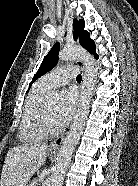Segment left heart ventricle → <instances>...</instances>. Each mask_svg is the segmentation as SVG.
Listing matches in <instances>:
<instances>
[{"label": "left heart ventricle", "instance_id": "left-heart-ventricle-1", "mask_svg": "<svg viewBox=\"0 0 138 186\" xmlns=\"http://www.w3.org/2000/svg\"><path fill=\"white\" fill-rule=\"evenodd\" d=\"M57 103L48 102L46 103V120L47 124L51 129H58L60 125L58 124L56 118V111H57Z\"/></svg>", "mask_w": 138, "mask_h": 186}]
</instances>
